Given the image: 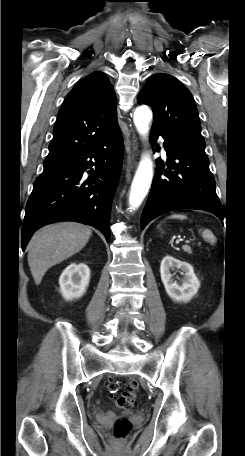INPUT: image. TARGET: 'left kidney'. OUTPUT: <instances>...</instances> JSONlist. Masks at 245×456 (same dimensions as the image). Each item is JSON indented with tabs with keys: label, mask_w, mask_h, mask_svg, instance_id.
Here are the masks:
<instances>
[{
	"label": "left kidney",
	"mask_w": 245,
	"mask_h": 456,
	"mask_svg": "<svg viewBox=\"0 0 245 456\" xmlns=\"http://www.w3.org/2000/svg\"><path fill=\"white\" fill-rule=\"evenodd\" d=\"M180 269L184 277L177 283L170 271ZM161 280L169 297L178 302H188L198 291L200 282L196 277L193 267L186 262L179 261L167 255L160 265Z\"/></svg>",
	"instance_id": "5707ae66"
}]
</instances>
